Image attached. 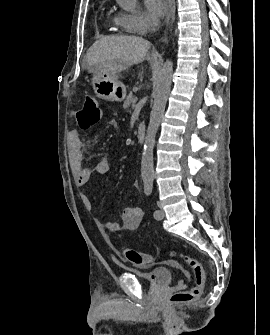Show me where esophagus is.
<instances>
[{"mask_svg":"<svg viewBox=\"0 0 270 335\" xmlns=\"http://www.w3.org/2000/svg\"><path fill=\"white\" fill-rule=\"evenodd\" d=\"M170 3H173V2H172V0H170ZM168 16H170V13H169V15H168Z\"/></svg>","mask_w":270,"mask_h":335,"instance_id":"34e87169","label":"esophagus"}]
</instances>
